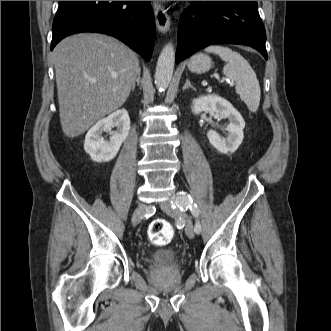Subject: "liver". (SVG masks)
Returning <instances> with one entry per match:
<instances>
[{"label":"liver","mask_w":331,"mask_h":331,"mask_svg":"<svg viewBox=\"0 0 331 331\" xmlns=\"http://www.w3.org/2000/svg\"><path fill=\"white\" fill-rule=\"evenodd\" d=\"M63 133L74 138L119 109L137 75L135 52L103 34H75L53 50Z\"/></svg>","instance_id":"6515ba94"}]
</instances>
